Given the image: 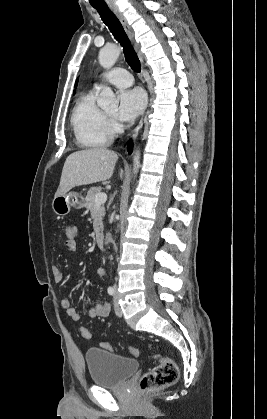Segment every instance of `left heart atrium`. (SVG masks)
Segmentation results:
<instances>
[{
	"mask_svg": "<svg viewBox=\"0 0 267 419\" xmlns=\"http://www.w3.org/2000/svg\"><path fill=\"white\" fill-rule=\"evenodd\" d=\"M145 104L146 98L140 89L122 91L119 95V119L125 122L135 120L142 113Z\"/></svg>",
	"mask_w": 267,
	"mask_h": 419,
	"instance_id": "1",
	"label": "left heart atrium"
}]
</instances>
